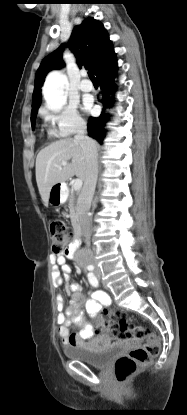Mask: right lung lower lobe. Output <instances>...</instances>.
I'll return each instance as SVG.
<instances>
[{
	"mask_svg": "<svg viewBox=\"0 0 187 415\" xmlns=\"http://www.w3.org/2000/svg\"><path fill=\"white\" fill-rule=\"evenodd\" d=\"M116 71L117 61L114 55L112 59L96 75L102 90V99L100 101L103 104V110L112 107L113 98L108 96L113 95L116 90V84L114 83ZM108 119L109 114H105L104 112H102L101 115L97 118L91 117L88 122V135L96 139L98 142L102 143L106 135L104 125Z\"/></svg>",
	"mask_w": 187,
	"mask_h": 415,
	"instance_id": "obj_1",
	"label": "right lung lower lobe"
}]
</instances>
